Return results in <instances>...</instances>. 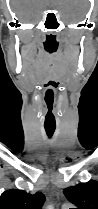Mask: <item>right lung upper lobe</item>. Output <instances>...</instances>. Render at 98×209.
Wrapping results in <instances>:
<instances>
[{"instance_id": "cb5924a9", "label": "right lung upper lobe", "mask_w": 98, "mask_h": 209, "mask_svg": "<svg viewBox=\"0 0 98 209\" xmlns=\"http://www.w3.org/2000/svg\"><path fill=\"white\" fill-rule=\"evenodd\" d=\"M45 196L41 192L35 194L23 190L11 189L2 193L0 209H41Z\"/></svg>"}]
</instances>
